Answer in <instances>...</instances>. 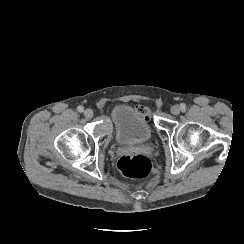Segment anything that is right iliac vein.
Masks as SVG:
<instances>
[{
    "label": "right iliac vein",
    "mask_w": 244,
    "mask_h": 244,
    "mask_svg": "<svg viewBox=\"0 0 244 244\" xmlns=\"http://www.w3.org/2000/svg\"><path fill=\"white\" fill-rule=\"evenodd\" d=\"M93 111L91 110V109H86L85 111H84V116H85V118H87V119H90V118H92V116H93Z\"/></svg>",
    "instance_id": "obj_1"
}]
</instances>
